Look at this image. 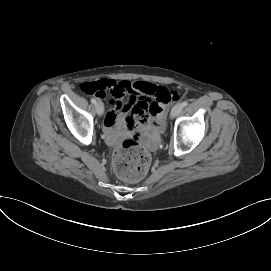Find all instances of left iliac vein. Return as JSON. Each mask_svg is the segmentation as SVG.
I'll return each instance as SVG.
<instances>
[{"mask_svg": "<svg viewBox=\"0 0 271 271\" xmlns=\"http://www.w3.org/2000/svg\"><path fill=\"white\" fill-rule=\"evenodd\" d=\"M182 109H183L182 104H176L171 110L170 113L171 118H175L177 115H179Z\"/></svg>", "mask_w": 271, "mask_h": 271, "instance_id": "obj_1", "label": "left iliac vein"}]
</instances>
